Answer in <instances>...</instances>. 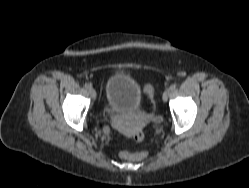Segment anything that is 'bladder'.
I'll return each instance as SVG.
<instances>
[{
    "mask_svg": "<svg viewBox=\"0 0 249 188\" xmlns=\"http://www.w3.org/2000/svg\"><path fill=\"white\" fill-rule=\"evenodd\" d=\"M105 95L110 106L117 112L141 110L144 91L130 74L115 72L107 80Z\"/></svg>",
    "mask_w": 249,
    "mask_h": 188,
    "instance_id": "31cf9c89",
    "label": "bladder"
}]
</instances>
